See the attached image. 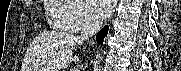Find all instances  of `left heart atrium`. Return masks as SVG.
I'll return each mask as SVG.
<instances>
[{"label":"left heart atrium","mask_w":181,"mask_h":71,"mask_svg":"<svg viewBox=\"0 0 181 71\" xmlns=\"http://www.w3.org/2000/svg\"><path fill=\"white\" fill-rule=\"evenodd\" d=\"M114 2L113 0H88L90 8L99 18L109 15L113 10Z\"/></svg>","instance_id":"obj_1"}]
</instances>
